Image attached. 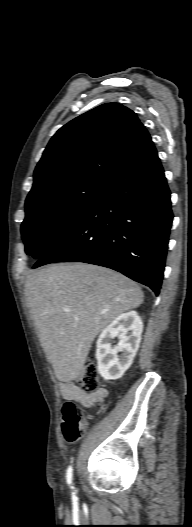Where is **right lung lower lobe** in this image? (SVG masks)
I'll use <instances>...</instances> for the list:
<instances>
[{
    "label": "right lung lower lobe",
    "instance_id": "98d812e1",
    "mask_svg": "<svg viewBox=\"0 0 192 527\" xmlns=\"http://www.w3.org/2000/svg\"><path fill=\"white\" fill-rule=\"evenodd\" d=\"M172 219L170 190L151 142L106 182L84 214L34 268L53 262L100 265L158 295Z\"/></svg>",
    "mask_w": 192,
    "mask_h": 527
}]
</instances>
